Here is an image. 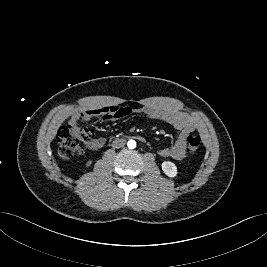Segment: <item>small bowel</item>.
<instances>
[{"instance_id": "c3829d8e", "label": "small bowel", "mask_w": 267, "mask_h": 267, "mask_svg": "<svg viewBox=\"0 0 267 267\" xmlns=\"http://www.w3.org/2000/svg\"><path fill=\"white\" fill-rule=\"evenodd\" d=\"M135 111L142 113L151 119L164 121L179 131L178 138L172 146L159 150L160 156L177 160L185 157L187 138L196 130V124L192 118L178 111L162 109L155 106H145ZM131 112V108L120 106L92 108L74 112L70 122L77 121L79 119L88 120L95 116H102L105 121H110L116 118L127 116ZM106 142L107 139L104 137L94 138L88 143V148L91 150H98L102 148Z\"/></svg>"}]
</instances>
